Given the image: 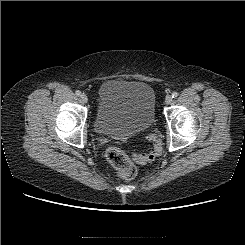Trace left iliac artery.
<instances>
[{
	"label": "left iliac artery",
	"mask_w": 245,
	"mask_h": 245,
	"mask_svg": "<svg viewBox=\"0 0 245 245\" xmlns=\"http://www.w3.org/2000/svg\"><path fill=\"white\" fill-rule=\"evenodd\" d=\"M178 96V93L177 92H173L172 93V98H176Z\"/></svg>",
	"instance_id": "1"
}]
</instances>
